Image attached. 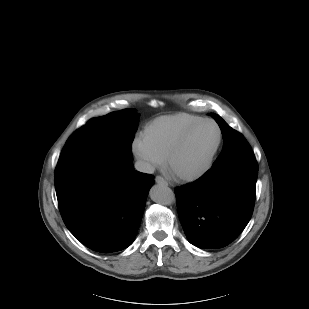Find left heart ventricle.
Here are the masks:
<instances>
[{
  "label": "left heart ventricle",
  "mask_w": 309,
  "mask_h": 309,
  "mask_svg": "<svg viewBox=\"0 0 309 309\" xmlns=\"http://www.w3.org/2000/svg\"><path fill=\"white\" fill-rule=\"evenodd\" d=\"M218 141V129L212 123L198 127L173 158L170 169L176 174L194 173L208 162Z\"/></svg>",
  "instance_id": "1"
}]
</instances>
